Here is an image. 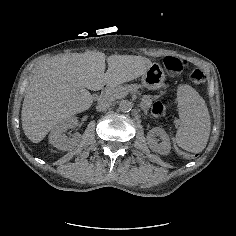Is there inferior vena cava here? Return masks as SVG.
Instances as JSON below:
<instances>
[{
    "label": "inferior vena cava",
    "mask_w": 236,
    "mask_h": 236,
    "mask_svg": "<svg viewBox=\"0 0 236 236\" xmlns=\"http://www.w3.org/2000/svg\"><path fill=\"white\" fill-rule=\"evenodd\" d=\"M111 106V103L110 102H104V101H101V102H98L97 106H96V110L98 112H101V111H106L107 109H109Z\"/></svg>",
    "instance_id": "1"
}]
</instances>
